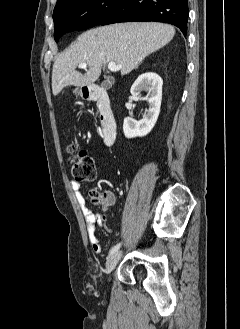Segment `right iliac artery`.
Here are the masks:
<instances>
[{"instance_id": "obj_1", "label": "right iliac artery", "mask_w": 240, "mask_h": 329, "mask_svg": "<svg viewBox=\"0 0 240 329\" xmlns=\"http://www.w3.org/2000/svg\"><path fill=\"white\" fill-rule=\"evenodd\" d=\"M120 247H121V243L116 244V245L110 250V252H109V256H110V255H113L114 253H116V252L119 250Z\"/></svg>"}]
</instances>
